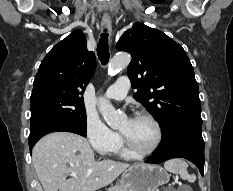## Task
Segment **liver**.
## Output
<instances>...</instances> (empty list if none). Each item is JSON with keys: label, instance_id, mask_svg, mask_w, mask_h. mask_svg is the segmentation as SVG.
I'll list each match as a JSON object with an SVG mask.
<instances>
[{"label": "liver", "instance_id": "liver-1", "mask_svg": "<svg viewBox=\"0 0 233 191\" xmlns=\"http://www.w3.org/2000/svg\"><path fill=\"white\" fill-rule=\"evenodd\" d=\"M32 162L44 191H96L130 167L112 160L96 161L89 142L70 132H54L40 139ZM69 174L74 175L66 179Z\"/></svg>", "mask_w": 233, "mask_h": 191}]
</instances>
